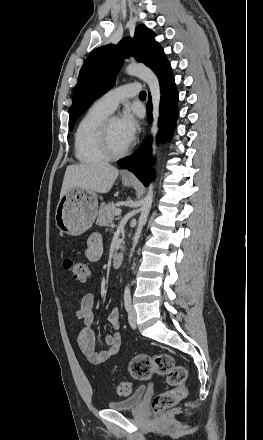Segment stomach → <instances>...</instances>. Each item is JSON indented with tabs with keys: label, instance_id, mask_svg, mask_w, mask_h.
I'll use <instances>...</instances> for the list:
<instances>
[{
	"label": "stomach",
	"instance_id": "0dacf381",
	"mask_svg": "<svg viewBox=\"0 0 263 440\" xmlns=\"http://www.w3.org/2000/svg\"><path fill=\"white\" fill-rule=\"evenodd\" d=\"M125 186L131 180L123 179ZM98 213V199L94 192L71 189L59 199L55 212V222L59 230L71 236H78L87 231Z\"/></svg>",
	"mask_w": 263,
	"mask_h": 440
}]
</instances>
